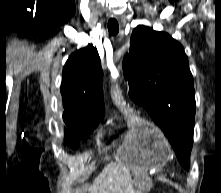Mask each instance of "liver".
I'll list each match as a JSON object with an SVG mask.
<instances>
[{
    "mask_svg": "<svg viewBox=\"0 0 221 193\" xmlns=\"http://www.w3.org/2000/svg\"><path fill=\"white\" fill-rule=\"evenodd\" d=\"M133 181L129 170L122 165L110 164L94 180L90 193H129Z\"/></svg>",
    "mask_w": 221,
    "mask_h": 193,
    "instance_id": "1",
    "label": "liver"
}]
</instances>
